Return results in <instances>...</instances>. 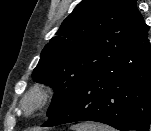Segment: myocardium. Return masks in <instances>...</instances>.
I'll return each instance as SVG.
<instances>
[{
  "instance_id": "myocardium-1",
  "label": "myocardium",
  "mask_w": 151,
  "mask_h": 131,
  "mask_svg": "<svg viewBox=\"0 0 151 131\" xmlns=\"http://www.w3.org/2000/svg\"><path fill=\"white\" fill-rule=\"evenodd\" d=\"M51 97L52 88L49 85L37 84L22 96L20 107L25 114H33L43 108Z\"/></svg>"
}]
</instances>
